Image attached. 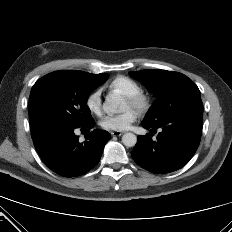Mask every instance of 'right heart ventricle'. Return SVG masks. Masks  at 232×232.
Returning a JSON list of instances; mask_svg holds the SVG:
<instances>
[{
  "label": "right heart ventricle",
  "instance_id": "right-heart-ventricle-1",
  "mask_svg": "<svg viewBox=\"0 0 232 232\" xmlns=\"http://www.w3.org/2000/svg\"><path fill=\"white\" fill-rule=\"evenodd\" d=\"M107 87L111 92L118 91L124 96L142 92L141 85L136 80L124 75L113 78Z\"/></svg>",
  "mask_w": 232,
  "mask_h": 232
}]
</instances>
